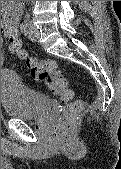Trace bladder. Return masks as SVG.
<instances>
[{
    "mask_svg": "<svg viewBox=\"0 0 121 169\" xmlns=\"http://www.w3.org/2000/svg\"><path fill=\"white\" fill-rule=\"evenodd\" d=\"M1 104L4 114L19 120H40L52 108V100L26 85L12 71L1 72Z\"/></svg>",
    "mask_w": 121,
    "mask_h": 169,
    "instance_id": "1",
    "label": "bladder"
}]
</instances>
